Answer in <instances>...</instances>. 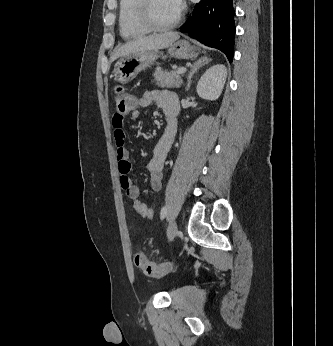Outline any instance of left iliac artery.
Wrapping results in <instances>:
<instances>
[{"mask_svg": "<svg viewBox=\"0 0 333 346\" xmlns=\"http://www.w3.org/2000/svg\"><path fill=\"white\" fill-rule=\"evenodd\" d=\"M166 215H167V207L163 206L161 209V212H160L161 219H164L166 217Z\"/></svg>", "mask_w": 333, "mask_h": 346, "instance_id": "left-iliac-artery-1", "label": "left iliac artery"}]
</instances>
